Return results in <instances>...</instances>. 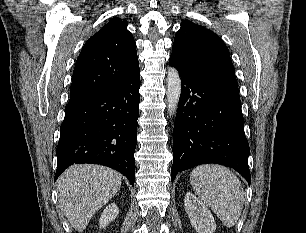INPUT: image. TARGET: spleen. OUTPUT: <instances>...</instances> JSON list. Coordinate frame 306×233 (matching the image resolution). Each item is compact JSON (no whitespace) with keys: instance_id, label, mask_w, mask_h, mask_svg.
Listing matches in <instances>:
<instances>
[{"instance_id":"1","label":"spleen","mask_w":306,"mask_h":233,"mask_svg":"<svg viewBox=\"0 0 306 233\" xmlns=\"http://www.w3.org/2000/svg\"><path fill=\"white\" fill-rule=\"evenodd\" d=\"M190 183L200 200L226 227L237 224L243 209L244 192L232 171L215 164L201 165L192 170Z\"/></svg>"}]
</instances>
